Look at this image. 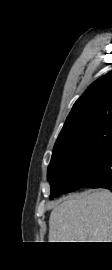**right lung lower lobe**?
Returning a JSON list of instances; mask_svg holds the SVG:
<instances>
[{
    "instance_id": "98d812e1",
    "label": "right lung lower lobe",
    "mask_w": 112,
    "mask_h": 270,
    "mask_svg": "<svg viewBox=\"0 0 112 270\" xmlns=\"http://www.w3.org/2000/svg\"><path fill=\"white\" fill-rule=\"evenodd\" d=\"M81 187L106 188L112 191V143L86 170Z\"/></svg>"
}]
</instances>
